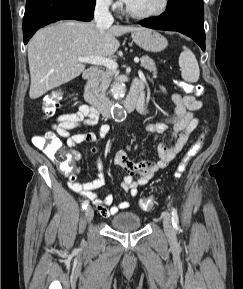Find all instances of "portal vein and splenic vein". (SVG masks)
Returning a JSON list of instances; mask_svg holds the SVG:
<instances>
[{"label":"portal vein and splenic vein","instance_id":"obj_1","mask_svg":"<svg viewBox=\"0 0 243 289\" xmlns=\"http://www.w3.org/2000/svg\"><path fill=\"white\" fill-rule=\"evenodd\" d=\"M76 60L82 63L91 64V65H102L111 70H116L118 68V64L115 60H112L106 57L93 56V55L78 56ZM134 61L136 63H139V58H134Z\"/></svg>","mask_w":243,"mask_h":289}]
</instances>
